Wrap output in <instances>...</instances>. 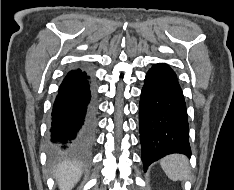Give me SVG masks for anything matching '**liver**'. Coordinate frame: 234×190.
<instances>
[{"label":"liver","instance_id":"obj_1","mask_svg":"<svg viewBox=\"0 0 234 190\" xmlns=\"http://www.w3.org/2000/svg\"><path fill=\"white\" fill-rule=\"evenodd\" d=\"M81 174V167L76 162H63L54 171L60 190H71L79 181Z\"/></svg>","mask_w":234,"mask_h":190}]
</instances>
